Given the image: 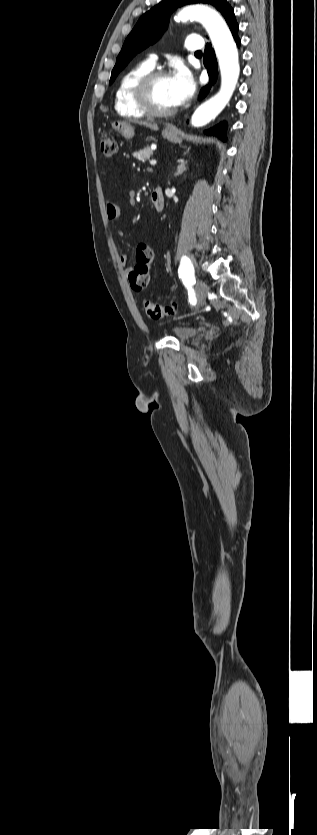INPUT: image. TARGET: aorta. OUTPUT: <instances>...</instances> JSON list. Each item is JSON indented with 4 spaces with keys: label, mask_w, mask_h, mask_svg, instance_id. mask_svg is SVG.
<instances>
[{
    "label": "aorta",
    "mask_w": 317,
    "mask_h": 835,
    "mask_svg": "<svg viewBox=\"0 0 317 835\" xmlns=\"http://www.w3.org/2000/svg\"><path fill=\"white\" fill-rule=\"evenodd\" d=\"M191 18L199 21L206 29L218 59L221 74L219 92L200 105L192 115V125L201 127L215 119L229 103L238 82L240 66L232 34L224 19L215 10L204 5H190L184 7L175 16V19L181 22H186Z\"/></svg>",
    "instance_id": "obj_1"
}]
</instances>
